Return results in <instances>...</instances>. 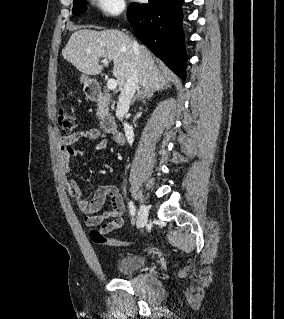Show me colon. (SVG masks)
<instances>
[{"mask_svg": "<svg viewBox=\"0 0 284 319\" xmlns=\"http://www.w3.org/2000/svg\"><path fill=\"white\" fill-rule=\"evenodd\" d=\"M57 120L61 131L65 134L71 133L77 125L76 117L66 106H59L57 109ZM90 238L94 243L110 246H123L127 242L102 235L98 230H91Z\"/></svg>", "mask_w": 284, "mask_h": 319, "instance_id": "1", "label": "colon"}]
</instances>
